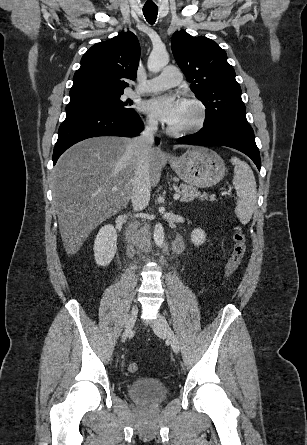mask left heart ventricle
<instances>
[{
	"label": "left heart ventricle",
	"instance_id": "b2bd125f",
	"mask_svg": "<svg viewBox=\"0 0 307 445\" xmlns=\"http://www.w3.org/2000/svg\"><path fill=\"white\" fill-rule=\"evenodd\" d=\"M196 117H197V112H196L195 108L193 106H191L190 104L186 103L183 115L177 122H175L171 126L174 128L183 127V126L193 122L196 119Z\"/></svg>",
	"mask_w": 307,
	"mask_h": 445
}]
</instances>
